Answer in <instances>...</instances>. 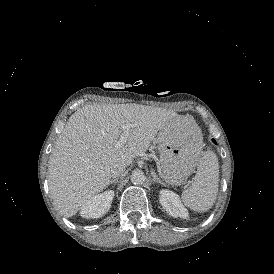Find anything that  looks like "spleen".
Instances as JSON below:
<instances>
[{"label": "spleen", "mask_w": 274, "mask_h": 274, "mask_svg": "<svg viewBox=\"0 0 274 274\" xmlns=\"http://www.w3.org/2000/svg\"><path fill=\"white\" fill-rule=\"evenodd\" d=\"M199 142H202V135L198 131ZM196 150V149H195ZM201 155V157H200ZM197 173L194 181L182 193V201L185 206L198 212L209 210L217 198L219 182V163L213 151L195 153Z\"/></svg>", "instance_id": "spleen-1"}]
</instances>
